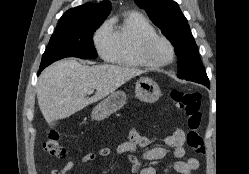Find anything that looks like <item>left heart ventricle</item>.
<instances>
[{
	"mask_svg": "<svg viewBox=\"0 0 249 174\" xmlns=\"http://www.w3.org/2000/svg\"><path fill=\"white\" fill-rule=\"evenodd\" d=\"M153 54L157 58L166 59L170 55L168 46L163 42H158L153 48Z\"/></svg>",
	"mask_w": 249,
	"mask_h": 174,
	"instance_id": "1",
	"label": "left heart ventricle"
}]
</instances>
